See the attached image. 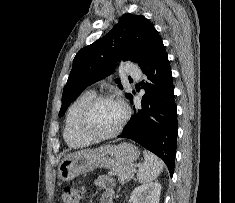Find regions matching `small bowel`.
Segmentation results:
<instances>
[{"label": "small bowel", "instance_id": "small-bowel-1", "mask_svg": "<svg viewBox=\"0 0 235 203\" xmlns=\"http://www.w3.org/2000/svg\"><path fill=\"white\" fill-rule=\"evenodd\" d=\"M95 185L103 190L100 203H113V179L107 175H100L96 178Z\"/></svg>", "mask_w": 235, "mask_h": 203}]
</instances>
